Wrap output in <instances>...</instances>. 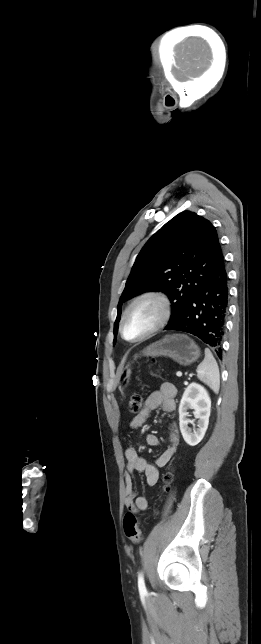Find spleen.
<instances>
[{
	"label": "spleen",
	"instance_id": "1",
	"mask_svg": "<svg viewBox=\"0 0 261 644\" xmlns=\"http://www.w3.org/2000/svg\"><path fill=\"white\" fill-rule=\"evenodd\" d=\"M197 377L207 386H209L214 393L219 392L220 388V374L218 364L209 349H205V358L198 365Z\"/></svg>",
	"mask_w": 261,
	"mask_h": 644
}]
</instances>
